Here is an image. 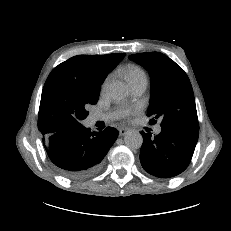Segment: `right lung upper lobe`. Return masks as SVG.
I'll list each match as a JSON object with an SVG mask.
<instances>
[{
  "instance_id": "right-lung-upper-lobe-1",
  "label": "right lung upper lobe",
  "mask_w": 231,
  "mask_h": 231,
  "mask_svg": "<svg viewBox=\"0 0 231 231\" xmlns=\"http://www.w3.org/2000/svg\"><path fill=\"white\" fill-rule=\"evenodd\" d=\"M125 56V53H115L108 55H77L59 64L74 71L78 78H88L89 80L102 84L107 73L117 65Z\"/></svg>"
}]
</instances>
